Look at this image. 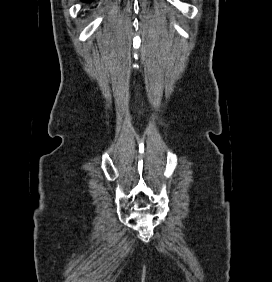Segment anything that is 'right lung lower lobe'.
Segmentation results:
<instances>
[{"mask_svg": "<svg viewBox=\"0 0 272 282\" xmlns=\"http://www.w3.org/2000/svg\"><path fill=\"white\" fill-rule=\"evenodd\" d=\"M84 1L88 2V1H90V0H84Z\"/></svg>", "mask_w": 272, "mask_h": 282, "instance_id": "right-lung-lower-lobe-1", "label": "right lung lower lobe"}]
</instances>
